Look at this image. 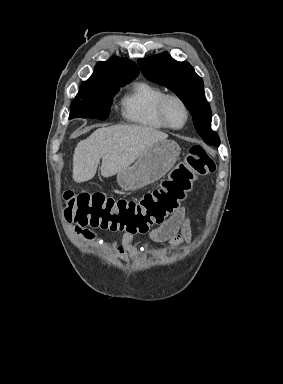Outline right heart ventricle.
<instances>
[{"mask_svg": "<svg viewBox=\"0 0 283 384\" xmlns=\"http://www.w3.org/2000/svg\"><path fill=\"white\" fill-rule=\"evenodd\" d=\"M165 94L164 90L145 80L133 81L120 100L123 118L143 129L166 130L156 115L157 105Z\"/></svg>", "mask_w": 283, "mask_h": 384, "instance_id": "right-heart-ventricle-1", "label": "right heart ventricle"}]
</instances>
